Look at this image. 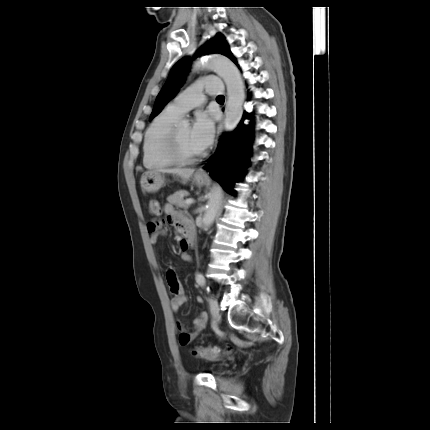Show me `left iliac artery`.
I'll return each mask as SVG.
<instances>
[{"mask_svg":"<svg viewBox=\"0 0 430 430\" xmlns=\"http://www.w3.org/2000/svg\"><path fill=\"white\" fill-rule=\"evenodd\" d=\"M196 281L199 285L205 286L206 280L201 273L196 274ZM207 290H209V288H207Z\"/></svg>","mask_w":430,"mask_h":430,"instance_id":"1","label":"left iliac artery"}]
</instances>
